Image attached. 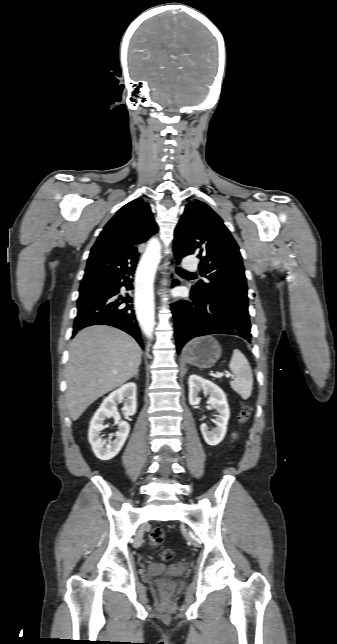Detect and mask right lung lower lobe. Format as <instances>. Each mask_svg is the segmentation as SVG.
I'll return each instance as SVG.
<instances>
[{
  "mask_svg": "<svg viewBox=\"0 0 337 644\" xmlns=\"http://www.w3.org/2000/svg\"><path fill=\"white\" fill-rule=\"evenodd\" d=\"M135 267H129L120 274L109 280V288L78 302V313L74 321L73 336L82 328L91 325H110L119 328L132 335L140 346L143 342L140 329L133 309L132 298L123 297L119 294L120 288L125 286L128 290L132 288L131 275Z\"/></svg>",
  "mask_w": 337,
  "mask_h": 644,
  "instance_id": "obj_1",
  "label": "right lung lower lobe"
}]
</instances>
